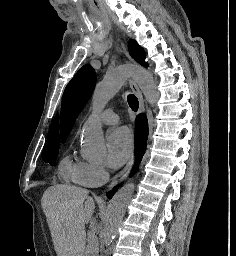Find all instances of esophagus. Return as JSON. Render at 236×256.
I'll return each instance as SVG.
<instances>
[{
  "label": "esophagus",
  "instance_id": "obj_1",
  "mask_svg": "<svg viewBox=\"0 0 236 256\" xmlns=\"http://www.w3.org/2000/svg\"><path fill=\"white\" fill-rule=\"evenodd\" d=\"M121 52L123 54L125 53L123 47H121ZM129 84H130V87L132 88V91L135 93V95L138 98L139 113H142L145 110V104H144V100H143L141 91L139 90L136 82L132 78L129 79ZM133 162H134V157H132L131 160L129 161V163L125 166V168H123V170L120 171V173L116 176V178L110 183L108 188H112L113 186L117 185L118 183H120L122 180H124L128 176V174L130 173V170L132 168Z\"/></svg>",
  "mask_w": 236,
  "mask_h": 256
}]
</instances>
